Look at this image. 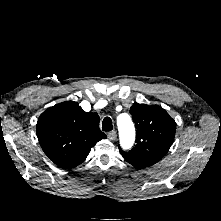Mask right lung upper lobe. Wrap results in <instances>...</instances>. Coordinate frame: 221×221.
Returning <instances> with one entry per match:
<instances>
[{
    "label": "right lung upper lobe",
    "instance_id": "right-lung-upper-lobe-1",
    "mask_svg": "<svg viewBox=\"0 0 221 221\" xmlns=\"http://www.w3.org/2000/svg\"><path fill=\"white\" fill-rule=\"evenodd\" d=\"M37 137L56 165L71 169L81 164L96 142L106 135L99 128V116L66 101L45 110L37 122Z\"/></svg>",
    "mask_w": 221,
    "mask_h": 221
}]
</instances>
